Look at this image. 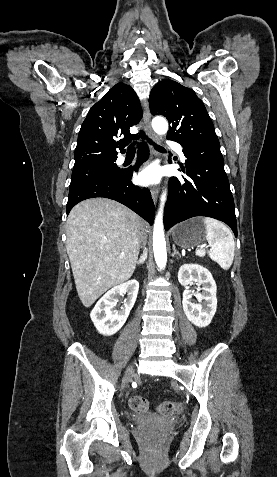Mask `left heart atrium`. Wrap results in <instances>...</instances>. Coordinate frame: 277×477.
<instances>
[{"label":"left heart atrium","instance_id":"1","mask_svg":"<svg viewBox=\"0 0 277 477\" xmlns=\"http://www.w3.org/2000/svg\"><path fill=\"white\" fill-rule=\"evenodd\" d=\"M160 178V171L153 166L147 167L142 170L138 176V180L143 185H149L156 183Z\"/></svg>","mask_w":277,"mask_h":477}]
</instances>
